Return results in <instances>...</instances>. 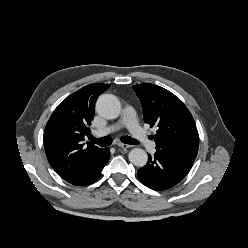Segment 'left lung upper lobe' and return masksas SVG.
<instances>
[{
    "instance_id": "left-lung-upper-lobe-1",
    "label": "left lung upper lobe",
    "mask_w": 248,
    "mask_h": 248,
    "mask_svg": "<svg viewBox=\"0 0 248 248\" xmlns=\"http://www.w3.org/2000/svg\"><path fill=\"white\" fill-rule=\"evenodd\" d=\"M132 87L141 101L145 123L158 128L154 136L156 152L193 164L199 135L184 103L170 91L151 83Z\"/></svg>"
}]
</instances>
